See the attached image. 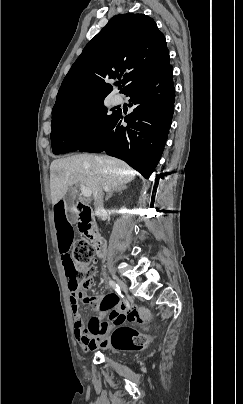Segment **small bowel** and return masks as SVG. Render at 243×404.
<instances>
[{"instance_id":"small-bowel-1","label":"small bowel","mask_w":243,"mask_h":404,"mask_svg":"<svg viewBox=\"0 0 243 404\" xmlns=\"http://www.w3.org/2000/svg\"><path fill=\"white\" fill-rule=\"evenodd\" d=\"M54 225L58 239L61 261L68 279L70 304L74 320V333L83 351H94L104 348L109 342L112 325L121 326L126 322H137L144 325L143 316L131 305H119V297L115 294L87 296L75 283L70 247L73 241V227L64 201L60 200L53 207ZM79 302L89 303L98 313L88 327H84L78 311ZM109 313V322L102 321L104 314Z\"/></svg>"}]
</instances>
